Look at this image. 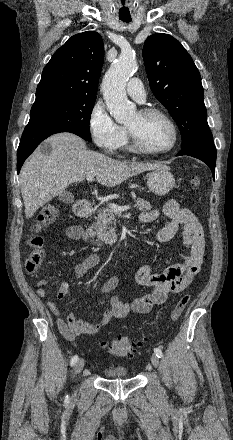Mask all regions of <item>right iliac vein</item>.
Returning <instances> with one entry per match:
<instances>
[{
  "label": "right iliac vein",
  "instance_id": "obj_1",
  "mask_svg": "<svg viewBox=\"0 0 233 440\" xmlns=\"http://www.w3.org/2000/svg\"><path fill=\"white\" fill-rule=\"evenodd\" d=\"M84 367V359H79L74 367L75 374H79Z\"/></svg>",
  "mask_w": 233,
  "mask_h": 440
}]
</instances>
